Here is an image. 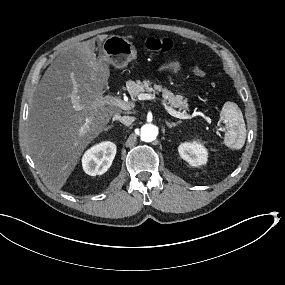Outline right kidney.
Masks as SVG:
<instances>
[{"label": "right kidney", "instance_id": "right-kidney-1", "mask_svg": "<svg viewBox=\"0 0 285 285\" xmlns=\"http://www.w3.org/2000/svg\"><path fill=\"white\" fill-rule=\"evenodd\" d=\"M116 155V145L104 141L92 146L82 157V167L86 174L91 176L104 174L112 164Z\"/></svg>", "mask_w": 285, "mask_h": 285}]
</instances>
